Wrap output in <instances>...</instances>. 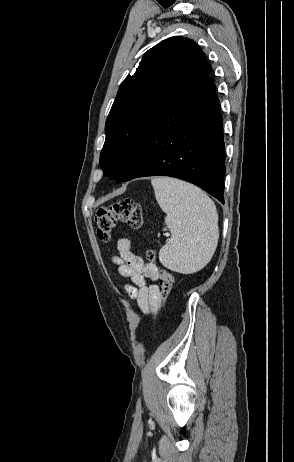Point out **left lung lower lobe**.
Here are the masks:
<instances>
[{"instance_id": "obj_1", "label": "left lung lower lobe", "mask_w": 294, "mask_h": 462, "mask_svg": "<svg viewBox=\"0 0 294 462\" xmlns=\"http://www.w3.org/2000/svg\"><path fill=\"white\" fill-rule=\"evenodd\" d=\"M224 151L220 104L208 76L190 82L171 104L157 112L115 180L177 177L224 203Z\"/></svg>"}]
</instances>
